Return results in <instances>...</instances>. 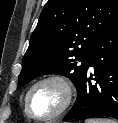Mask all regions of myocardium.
Masks as SVG:
<instances>
[{
  "label": "myocardium",
  "instance_id": "f54148a6",
  "mask_svg": "<svg viewBox=\"0 0 118 123\" xmlns=\"http://www.w3.org/2000/svg\"><path fill=\"white\" fill-rule=\"evenodd\" d=\"M45 83H55L58 86H60L64 92V100L61 104V106L59 107V109L46 117H39L36 116L32 113L31 108H30V96L32 94V92L40 85L45 84ZM74 94H75V90H74V86L72 84V82L64 75L62 74H49L46 75L40 79H38L37 81H35L27 90L26 94H25V99H24V106H25V112L26 114L36 120V121H51L54 120L58 117H60L63 113L66 112V110L70 107V105L73 102L74 99Z\"/></svg>",
  "mask_w": 118,
  "mask_h": 123
}]
</instances>
